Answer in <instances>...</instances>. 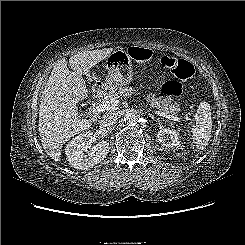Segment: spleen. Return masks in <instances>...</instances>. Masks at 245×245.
Returning a JSON list of instances; mask_svg holds the SVG:
<instances>
[{"label":"spleen","mask_w":245,"mask_h":245,"mask_svg":"<svg viewBox=\"0 0 245 245\" xmlns=\"http://www.w3.org/2000/svg\"><path fill=\"white\" fill-rule=\"evenodd\" d=\"M196 124L192 128V138L198 149H204L209 143L212 131L210 105L203 101L195 114Z\"/></svg>","instance_id":"spleen-1"}]
</instances>
